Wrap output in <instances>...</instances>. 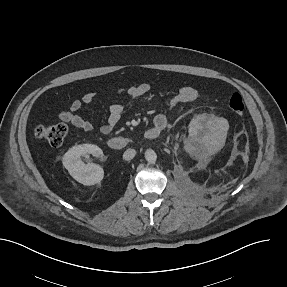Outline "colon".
<instances>
[{
  "mask_svg": "<svg viewBox=\"0 0 287 287\" xmlns=\"http://www.w3.org/2000/svg\"><path fill=\"white\" fill-rule=\"evenodd\" d=\"M230 110L241 115L244 111V102L240 94L235 93L229 99ZM68 127L64 124L37 125L34 128V136L39 140L48 142L51 146L57 147L64 143L68 136Z\"/></svg>",
  "mask_w": 287,
  "mask_h": 287,
  "instance_id": "obj_1",
  "label": "colon"
}]
</instances>
